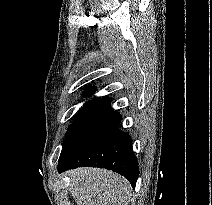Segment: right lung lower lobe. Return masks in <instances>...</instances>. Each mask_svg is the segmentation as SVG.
Here are the masks:
<instances>
[{"mask_svg": "<svg viewBox=\"0 0 212 205\" xmlns=\"http://www.w3.org/2000/svg\"><path fill=\"white\" fill-rule=\"evenodd\" d=\"M110 102L107 97L100 100L94 114L60 156L58 171L81 166L105 168L125 176L135 188L139 167L131 137L119 129L121 115Z\"/></svg>", "mask_w": 212, "mask_h": 205, "instance_id": "right-lung-lower-lobe-1", "label": "right lung lower lobe"}]
</instances>
